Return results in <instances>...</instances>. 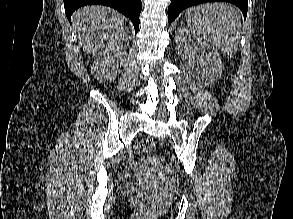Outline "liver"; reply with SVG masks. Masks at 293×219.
I'll list each match as a JSON object with an SVG mask.
<instances>
[{"instance_id": "1", "label": "liver", "mask_w": 293, "mask_h": 219, "mask_svg": "<svg viewBox=\"0 0 293 219\" xmlns=\"http://www.w3.org/2000/svg\"><path fill=\"white\" fill-rule=\"evenodd\" d=\"M72 21L85 53L97 57L119 54L129 43L124 17L109 7H83L73 14Z\"/></svg>"}]
</instances>
